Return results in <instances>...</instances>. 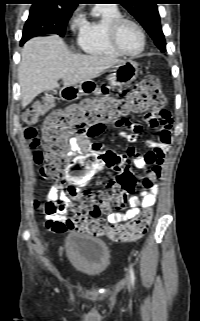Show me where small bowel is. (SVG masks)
Instances as JSON below:
<instances>
[{"mask_svg":"<svg viewBox=\"0 0 200 321\" xmlns=\"http://www.w3.org/2000/svg\"><path fill=\"white\" fill-rule=\"evenodd\" d=\"M140 83H132L131 86H125L124 89L110 87L109 83H102L98 92L103 97L123 98L133 93L135 90H140ZM146 123L159 130V137L156 141H147L146 146L149 150L145 153L136 151L134 148H128L126 155L123 157L129 159L138 169L144 170L142 180L143 189L129 199V209L126 211H117L107 214V221L112 225H119L126 221L135 218L141 208H150L155 204L156 197L159 192V187L156 184V179L161 175L162 165L166 153L170 149L172 118L167 110H154L145 115ZM119 126L123 130L119 135L133 142L136 140L141 131V125L136 122L122 120ZM69 157L76 154H88L92 151H101V145L92 142L86 136L72 137L69 140ZM107 152V151H104ZM111 152V151H109ZM63 185L58 182L50 187L46 194V204H51L55 210L46 214V227L55 233H64L67 230L75 228V225L67 219V213L73 205L74 198H67Z\"/></svg>","mask_w":200,"mask_h":321,"instance_id":"1","label":"small bowel"}]
</instances>
